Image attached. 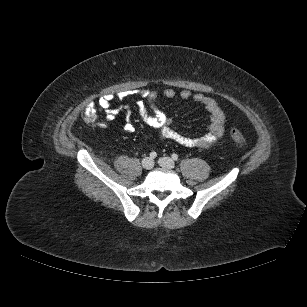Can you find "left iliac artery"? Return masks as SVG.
Instances as JSON below:
<instances>
[{
  "label": "left iliac artery",
  "instance_id": "left-iliac-artery-1",
  "mask_svg": "<svg viewBox=\"0 0 307 307\" xmlns=\"http://www.w3.org/2000/svg\"><path fill=\"white\" fill-rule=\"evenodd\" d=\"M171 156H172V159L175 160V161H177L178 158H179L176 153H173Z\"/></svg>",
  "mask_w": 307,
  "mask_h": 307
}]
</instances>
